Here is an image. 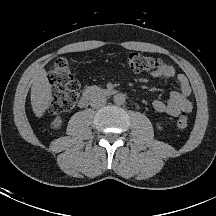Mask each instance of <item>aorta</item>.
<instances>
[{
	"label": "aorta",
	"instance_id": "obj_1",
	"mask_svg": "<svg viewBox=\"0 0 216 216\" xmlns=\"http://www.w3.org/2000/svg\"><path fill=\"white\" fill-rule=\"evenodd\" d=\"M126 97L122 93H118L114 96V103L117 105H123L125 103Z\"/></svg>",
	"mask_w": 216,
	"mask_h": 216
}]
</instances>
